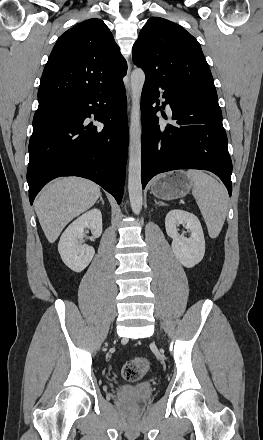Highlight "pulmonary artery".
<instances>
[{
    "mask_svg": "<svg viewBox=\"0 0 263 440\" xmlns=\"http://www.w3.org/2000/svg\"><path fill=\"white\" fill-rule=\"evenodd\" d=\"M163 100H165V99L163 98ZM166 108H167L168 111L171 110V109H170V106H169L168 104H166Z\"/></svg>",
    "mask_w": 263,
    "mask_h": 440,
    "instance_id": "e3ab8cb5",
    "label": "pulmonary artery"
}]
</instances>
